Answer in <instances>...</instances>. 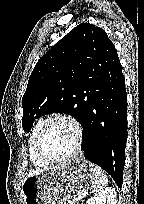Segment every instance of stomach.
<instances>
[{"mask_svg": "<svg viewBox=\"0 0 144 204\" xmlns=\"http://www.w3.org/2000/svg\"><path fill=\"white\" fill-rule=\"evenodd\" d=\"M93 166L76 159L26 178L22 183L24 204H67L75 200L89 189Z\"/></svg>", "mask_w": 144, "mask_h": 204, "instance_id": "1", "label": "stomach"}]
</instances>
